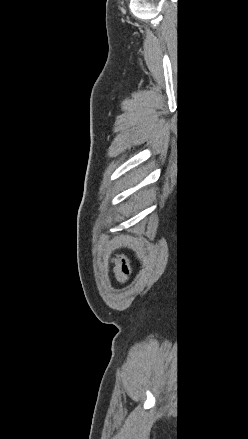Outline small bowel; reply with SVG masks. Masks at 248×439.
<instances>
[{"label": "small bowel", "instance_id": "small-bowel-1", "mask_svg": "<svg viewBox=\"0 0 248 439\" xmlns=\"http://www.w3.org/2000/svg\"><path fill=\"white\" fill-rule=\"evenodd\" d=\"M109 260L113 264L115 278L121 283H126L132 270L129 262L121 256H114Z\"/></svg>", "mask_w": 248, "mask_h": 439}]
</instances>
